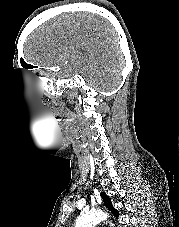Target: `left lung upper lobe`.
<instances>
[{
  "mask_svg": "<svg viewBox=\"0 0 179 227\" xmlns=\"http://www.w3.org/2000/svg\"><path fill=\"white\" fill-rule=\"evenodd\" d=\"M101 196L105 206L115 215V217H118L119 212L115 208H113L110 198L104 192L101 193Z\"/></svg>",
  "mask_w": 179,
  "mask_h": 227,
  "instance_id": "obj_1",
  "label": "left lung upper lobe"
}]
</instances>
